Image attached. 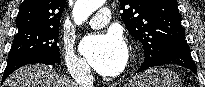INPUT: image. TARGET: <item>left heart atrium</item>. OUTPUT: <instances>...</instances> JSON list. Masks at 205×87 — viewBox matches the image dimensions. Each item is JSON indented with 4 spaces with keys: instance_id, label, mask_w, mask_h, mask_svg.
Returning a JSON list of instances; mask_svg holds the SVG:
<instances>
[{
    "instance_id": "1",
    "label": "left heart atrium",
    "mask_w": 205,
    "mask_h": 87,
    "mask_svg": "<svg viewBox=\"0 0 205 87\" xmlns=\"http://www.w3.org/2000/svg\"><path fill=\"white\" fill-rule=\"evenodd\" d=\"M81 51L90 65L106 76L117 75L127 60L126 44L115 32L86 37Z\"/></svg>"
}]
</instances>
